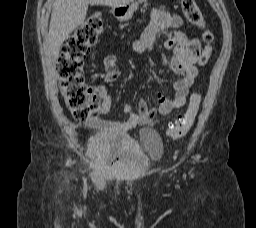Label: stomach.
I'll list each match as a JSON object with an SVG mask.
<instances>
[{
  "mask_svg": "<svg viewBox=\"0 0 256 228\" xmlns=\"http://www.w3.org/2000/svg\"><path fill=\"white\" fill-rule=\"evenodd\" d=\"M133 11L131 8H121L119 13H116V18L120 21H127L131 19Z\"/></svg>",
  "mask_w": 256,
  "mask_h": 228,
  "instance_id": "stomach-1",
  "label": "stomach"
}]
</instances>
